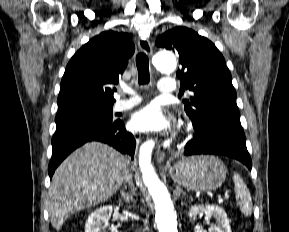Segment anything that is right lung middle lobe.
<instances>
[{
    "label": "right lung middle lobe",
    "mask_w": 289,
    "mask_h": 232,
    "mask_svg": "<svg viewBox=\"0 0 289 232\" xmlns=\"http://www.w3.org/2000/svg\"><path fill=\"white\" fill-rule=\"evenodd\" d=\"M113 106L83 105L59 109L55 122L57 125L74 122L112 123Z\"/></svg>",
    "instance_id": "1"
}]
</instances>
